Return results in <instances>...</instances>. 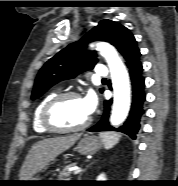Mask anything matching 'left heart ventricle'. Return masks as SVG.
Here are the masks:
<instances>
[{
    "label": "left heart ventricle",
    "mask_w": 178,
    "mask_h": 186,
    "mask_svg": "<svg viewBox=\"0 0 178 186\" xmlns=\"http://www.w3.org/2000/svg\"><path fill=\"white\" fill-rule=\"evenodd\" d=\"M89 116L82 99L69 98L54 107L51 119L59 127L71 128L83 124Z\"/></svg>",
    "instance_id": "b2bd125f"
}]
</instances>
